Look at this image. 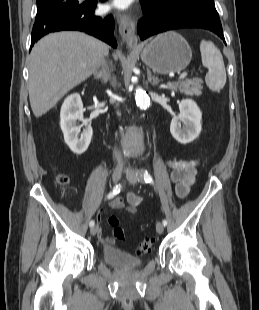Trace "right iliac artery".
Wrapping results in <instances>:
<instances>
[{"instance_id": "82829eb1", "label": "right iliac artery", "mask_w": 259, "mask_h": 310, "mask_svg": "<svg viewBox=\"0 0 259 310\" xmlns=\"http://www.w3.org/2000/svg\"><path fill=\"white\" fill-rule=\"evenodd\" d=\"M120 191H121V185L118 184V185H116V186L113 188V190L107 195V198H108V199L113 198L115 195H117L118 193H120ZM94 224H95V223H94L93 220H91V221L89 222L90 227H93Z\"/></svg>"}]
</instances>
